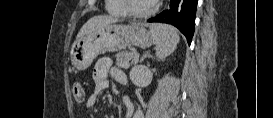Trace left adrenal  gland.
Listing matches in <instances>:
<instances>
[{
    "instance_id": "1",
    "label": "left adrenal gland",
    "mask_w": 273,
    "mask_h": 118,
    "mask_svg": "<svg viewBox=\"0 0 273 118\" xmlns=\"http://www.w3.org/2000/svg\"><path fill=\"white\" fill-rule=\"evenodd\" d=\"M152 55L149 52H145L140 59V62H143L146 58H150Z\"/></svg>"
}]
</instances>
